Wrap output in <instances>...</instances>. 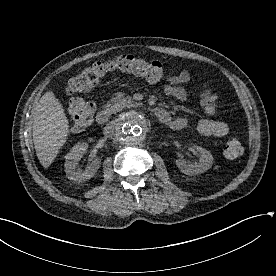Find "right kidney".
<instances>
[{
	"mask_svg": "<svg viewBox=\"0 0 276 276\" xmlns=\"http://www.w3.org/2000/svg\"><path fill=\"white\" fill-rule=\"evenodd\" d=\"M88 148L86 142H79L71 151L65 156V172L68 177L73 182L80 183L91 179L100 168V159L95 158L92 162L85 168V170L77 169V163L82 158L83 154Z\"/></svg>",
	"mask_w": 276,
	"mask_h": 276,
	"instance_id": "ca27d5eb",
	"label": "right kidney"
}]
</instances>
